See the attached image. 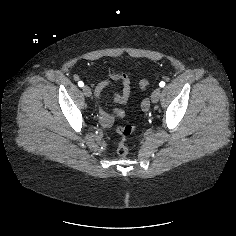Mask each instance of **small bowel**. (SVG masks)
Here are the masks:
<instances>
[{"label": "small bowel", "mask_w": 236, "mask_h": 236, "mask_svg": "<svg viewBox=\"0 0 236 236\" xmlns=\"http://www.w3.org/2000/svg\"><path fill=\"white\" fill-rule=\"evenodd\" d=\"M110 76L114 81H117L121 84V91H113V99L115 102L119 104H125L130 97L131 94V82L129 78L122 73H117L114 71L110 72ZM111 86V82L108 80L102 81L99 83L95 89V95L96 97H100L102 92ZM100 115V121L102 122L103 125L105 126H110L114 120L115 117L117 118H124L125 117V111L122 109H114L112 111H109L105 108L100 109L99 112Z\"/></svg>", "instance_id": "obj_1"}]
</instances>
